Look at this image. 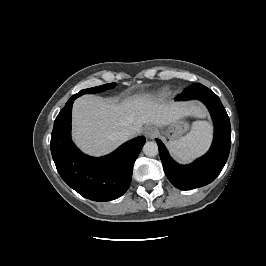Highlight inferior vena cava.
<instances>
[{
  "label": "inferior vena cava",
  "mask_w": 266,
  "mask_h": 266,
  "mask_svg": "<svg viewBox=\"0 0 266 266\" xmlns=\"http://www.w3.org/2000/svg\"><path fill=\"white\" fill-rule=\"evenodd\" d=\"M117 137L118 139L124 141L127 140L131 137V131L129 129H121L120 131H118L117 133Z\"/></svg>",
  "instance_id": "inferior-vena-cava-1"
}]
</instances>
